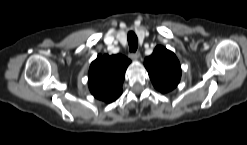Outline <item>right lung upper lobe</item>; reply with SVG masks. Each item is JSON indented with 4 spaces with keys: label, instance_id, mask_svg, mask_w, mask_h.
I'll use <instances>...</instances> for the list:
<instances>
[{
    "label": "right lung upper lobe",
    "instance_id": "right-lung-upper-lobe-1",
    "mask_svg": "<svg viewBox=\"0 0 247 145\" xmlns=\"http://www.w3.org/2000/svg\"><path fill=\"white\" fill-rule=\"evenodd\" d=\"M130 60L120 54L98 55L91 63L88 84L95 98L107 103L115 101L122 94L125 71Z\"/></svg>",
    "mask_w": 247,
    "mask_h": 145
}]
</instances>
